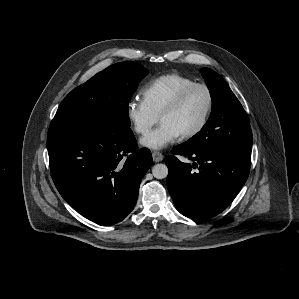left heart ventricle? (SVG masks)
<instances>
[{"instance_id":"obj_1","label":"left heart ventricle","mask_w":299,"mask_h":299,"mask_svg":"<svg viewBox=\"0 0 299 299\" xmlns=\"http://www.w3.org/2000/svg\"><path fill=\"white\" fill-rule=\"evenodd\" d=\"M207 106V96L204 90H192L182 104L173 112L164 115L161 123H168L180 134L193 129L202 119Z\"/></svg>"}]
</instances>
